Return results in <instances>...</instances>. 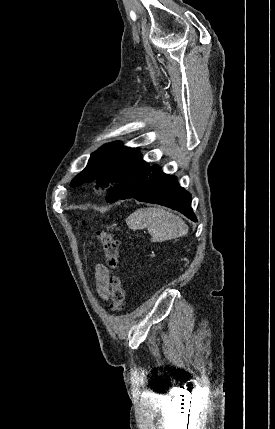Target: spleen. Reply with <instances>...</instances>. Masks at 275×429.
Segmentation results:
<instances>
[{
	"label": "spleen",
	"mask_w": 275,
	"mask_h": 429,
	"mask_svg": "<svg viewBox=\"0 0 275 429\" xmlns=\"http://www.w3.org/2000/svg\"><path fill=\"white\" fill-rule=\"evenodd\" d=\"M126 223L133 230L147 229L153 242L175 239L188 232V226L181 218L163 208L138 209L126 219Z\"/></svg>",
	"instance_id": "3e777b00"
}]
</instances>
